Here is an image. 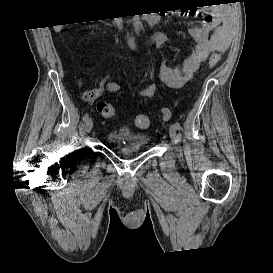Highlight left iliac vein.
<instances>
[{
  "instance_id": "left-iliac-vein-1",
  "label": "left iliac vein",
  "mask_w": 273,
  "mask_h": 273,
  "mask_svg": "<svg viewBox=\"0 0 273 273\" xmlns=\"http://www.w3.org/2000/svg\"><path fill=\"white\" fill-rule=\"evenodd\" d=\"M169 134H170V137H171L172 141H175L176 140V135H177V131H176L175 125H173V124L170 125Z\"/></svg>"
}]
</instances>
